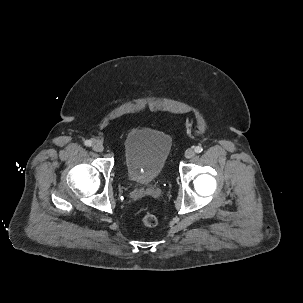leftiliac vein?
<instances>
[{
  "instance_id": "1",
  "label": "left iliac vein",
  "mask_w": 303,
  "mask_h": 303,
  "mask_svg": "<svg viewBox=\"0 0 303 303\" xmlns=\"http://www.w3.org/2000/svg\"><path fill=\"white\" fill-rule=\"evenodd\" d=\"M195 155V150L192 148H189L185 151V157L190 159Z\"/></svg>"
}]
</instances>
